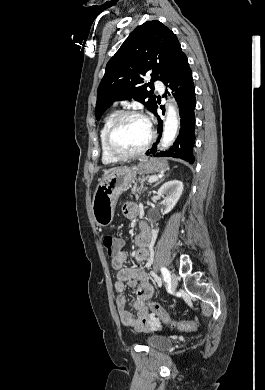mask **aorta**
<instances>
[{
    "label": "aorta",
    "instance_id": "762f6f07",
    "mask_svg": "<svg viewBox=\"0 0 265 390\" xmlns=\"http://www.w3.org/2000/svg\"><path fill=\"white\" fill-rule=\"evenodd\" d=\"M179 126L178 112L176 107L169 103L167 105L166 120L164 123L161 147L168 148L174 141Z\"/></svg>",
    "mask_w": 265,
    "mask_h": 390
}]
</instances>
